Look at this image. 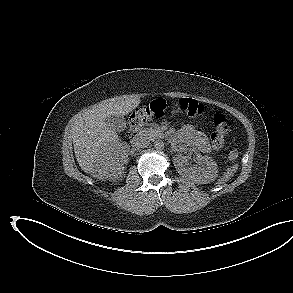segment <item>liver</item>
Wrapping results in <instances>:
<instances>
[{
  "label": "liver",
  "mask_w": 293,
  "mask_h": 293,
  "mask_svg": "<svg viewBox=\"0 0 293 293\" xmlns=\"http://www.w3.org/2000/svg\"><path fill=\"white\" fill-rule=\"evenodd\" d=\"M140 104V98H112L79 113L71 125L74 152L81 169L99 180L113 179L128 163L130 146L105 122L107 116H125Z\"/></svg>",
  "instance_id": "6515ba94"
}]
</instances>
